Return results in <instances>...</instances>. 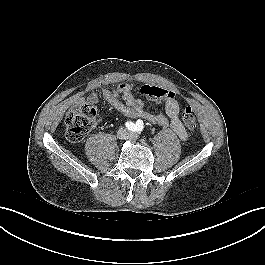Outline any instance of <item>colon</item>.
I'll return each mask as SVG.
<instances>
[{"label":"colon","instance_id":"5ec220e1","mask_svg":"<svg viewBox=\"0 0 265 265\" xmlns=\"http://www.w3.org/2000/svg\"><path fill=\"white\" fill-rule=\"evenodd\" d=\"M140 93L152 100H163L169 95L166 89L152 85H143L140 88ZM96 119L97 111L91 104H85L77 110L69 112L65 119L67 138L73 143L82 141L94 128ZM182 121L189 130L196 127V118L190 106L183 109Z\"/></svg>","mask_w":265,"mask_h":265}]
</instances>
